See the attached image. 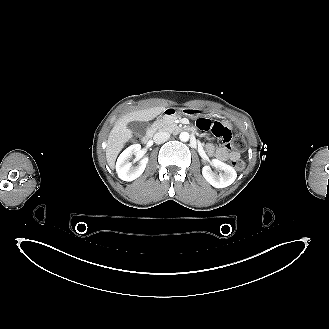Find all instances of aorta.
Listing matches in <instances>:
<instances>
[{"label": "aorta", "instance_id": "aorta-1", "mask_svg": "<svg viewBox=\"0 0 329 329\" xmlns=\"http://www.w3.org/2000/svg\"><path fill=\"white\" fill-rule=\"evenodd\" d=\"M181 141L186 142L189 140V133L188 132H181L179 135Z\"/></svg>", "mask_w": 329, "mask_h": 329}]
</instances>
